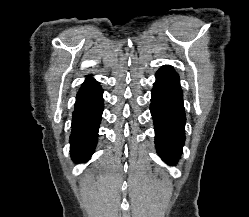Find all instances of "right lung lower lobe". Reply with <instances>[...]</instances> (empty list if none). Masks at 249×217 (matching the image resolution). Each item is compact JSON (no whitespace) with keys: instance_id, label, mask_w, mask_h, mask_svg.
Here are the masks:
<instances>
[{"instance_id":"98d812e1","label":"right lung lower lobe","mask_w":249,"mask_h":217,"mask_svg":"<svg viewBox=\"0 0 249 217\" xmlns=\"http://www.w3.org/2000/svg\"><path fill=\"white\" fill-rule=\"evenodd\" d=\"M103 112V90L93 78L87 77L77 93L72 119L70 151L76 162L90 159L95 150Z\"/></svg>"}]
</instances>
